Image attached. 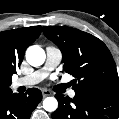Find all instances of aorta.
Masks as SVG:
<instances>
[{"label": "aorta", "mask_w": 119, "mask_h": 119, "mask_svg": "<svg viewBox=\"0 0 119 119\" xmlns=\"http://www.w3.org/2000/svg\"><path fill=\"white\" fill-rule=\"evenodd\" d=\"M46 58L45 51L38 45L30 46L26 50V60L27 62L34 66H40L44 63ZM58 102L54 97H47L43 101V108L46 111L53 112L57 109Z\"/></svg>", "instance_id": "aorta-1"}]
</instances>
